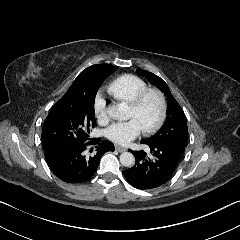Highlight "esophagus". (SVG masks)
I'll list each match as a JSON object with an SVG mask.
<instances>
[{"instance_id": "1", "label": "esophagus", "mask_w": 240, "mask_h": 240, "mask_svg": "<svg viewBox=\"0 0 240 240\" xmlns=\"http://www.w3.org/2000/svg\"><path fill=\"white\" fill-rule=\"evenodd\" d=\"M115 148H116V150H117L118 152H120V153L127 151V148H126V147H123V146L117 145Z\"/></svg>"}]
</instances>
